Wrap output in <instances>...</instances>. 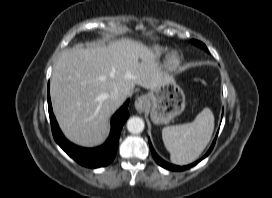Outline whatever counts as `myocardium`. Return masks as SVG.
I'll use <instances>...</instances> for the list:
<instances>
[{
    "label": "myocardium",
    "mask_w": 272,
    "mask_h": 198,
    "mask_svg": "<svg viewBox=\"0 0 272 198\" xmlns=\"http://www.w3.org/2000/svg\"><path fill=\"white\" fill-rule=\"evenodd\" d=\"M181 63V56L177 52L171 53L167 60H166V66L169 69H176Z\"/></svg>",
    "instance_id": "obj_1"
}]
</instances>
